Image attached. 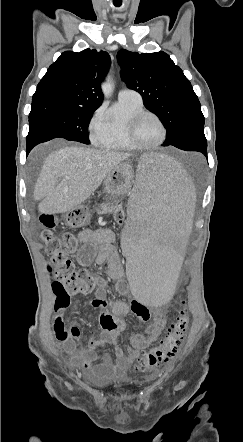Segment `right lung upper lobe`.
I'll list each match as a JSON object with an SVG mask.
<instances>
[{
    "instance_id": "obj_1",
    "label": "right lung upper lobe",
    "mask_w": 243,
    "mask_h": 442,
    "mask_svg": "<svg viewBox=\"0 0 243 442\" xmlns=\"http://www.w3.org/2000/svg\"><path fill=\"white\" fill-rule=\"evenodd\" d=\"M109 66L107 52L90 49L65 51L49 67L33 98L57 96L97 109L103 101L100 83Z\"/></svg>"
}]
</instances>
